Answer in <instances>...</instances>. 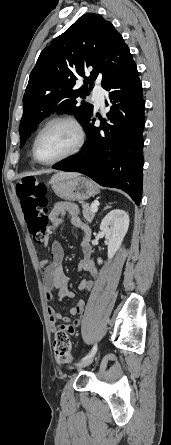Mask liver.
Returning <instances> with one entry per match:
<instances>
[{
    "label": "liver",
    "instance_id": "1",
    "mask_svg": "<svg viewBox=\"0 0 171 445\" xmlns=\"http://www.w3.org/2000/svg\"><path fill=\"white\" fill-rule=\"evenodd\" d=\"M73 175H77V174H74V173H59V174H57V175H55V176H73Z\"/></svg>",
    "mask_w": 171,
    "mask_h": 445
}]
</instances>
